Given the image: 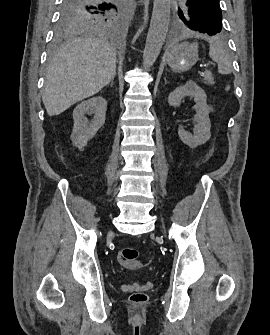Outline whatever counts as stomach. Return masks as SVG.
<instances>
[{
	"mask_svg": "<svg viewBox=\"0 0 270 335\" xmlns=\"http://www.w3.org/2000/svg\"><path fill=\"white\" fill-rule=\"evenodd\" d=\"M166 60L168 66L174 72H186L194 66L198 60V44L197 42H181V44H174L168 48L166 52Z\"/></svg>",
	"mask_w": 270,
	"mask_h": 335,
	"instance_id": "obj_1",
	"label": "stomach"
}]
</instances>
